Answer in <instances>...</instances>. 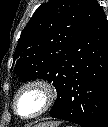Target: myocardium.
Wrapping results in <instances>:
<instances>
[{
	"mask_svg": "<svg viewBox=\"0 0 108 127\" xmlns=\"http://www.w3.org/2000/svg\"><path fill=\"white\" fill-rule=\"evenodd\" d=\"M29 90L38 91L42 95V103L40 107L33 113L22 114L18 110V101L19 98ZM55 99H56V90L48 80L43 78H33L26 81L18 88V90L14 94L12 105L14 112L20 118L33 119L47 112L54 104Z\"/></svg>",
	"mask_w": 108,
	"mask_h": 127,
	"instance_id": "myocardium-1",
	"label": "myocardium"
}]
</instances>
